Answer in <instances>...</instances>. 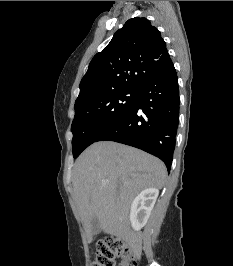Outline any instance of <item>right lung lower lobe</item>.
<instances>
[{"instance_id":"98d812e1","label":"right lung lower lobe","mask_w":233,"mask_h":266,"mask_svg":"<svg viewBox=\"0 0 233 266\" xmlns=\"http://www.w3.org/2000/svg\"><path fill=\"white\" fill-rule=\"evenodd\" d=\"M179 114L173 63L144 83L133 105L97 141H115L144 150L171 167Z\"/></svg>"}]
</instances>
